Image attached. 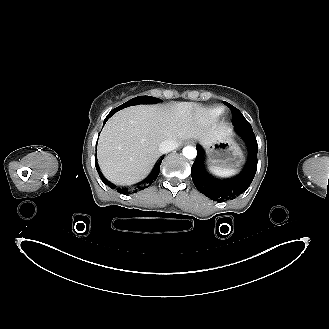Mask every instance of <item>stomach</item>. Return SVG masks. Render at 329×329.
<instances>
[{
    "mask_svg": "<svg viewBox=\"0 0 329 329\" xmlns=\"http://www.w3.org/2000/svg\"><path fill=\"white\" fill-rule=\"evenodd\" d=\"M208 164L213 169L231 170L238 168L244 161V155L231 136L205 145Z\"/></svg>",
    "mask_w": 329,
    "mask_h": 329,
    "instance_id": "stomach-1",
    "label": "stomach"
}]
</instances>
